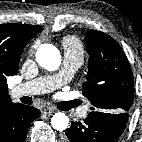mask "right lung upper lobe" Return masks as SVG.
I'll return each mask as SVG.
<instances>
[{"mask_svg":"<svg viewBox=\"0 0 142 142\" xmlns=\"http://www.w3.org/2000/svg\"><path fill=\"white\" fill-rule=\"evenodd\" d=\"M42 30L41 26L0 24V112L15 104L8 95L6 77L17 73L25 45Z\"/></svg>","mask_w":142,"mask_h":142,"instance_id":"obj_1","label":"right lung upper lobe"}]
</instances>
